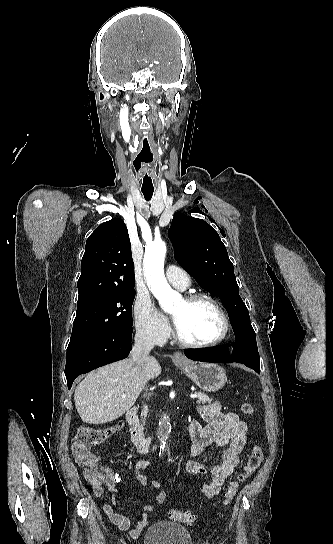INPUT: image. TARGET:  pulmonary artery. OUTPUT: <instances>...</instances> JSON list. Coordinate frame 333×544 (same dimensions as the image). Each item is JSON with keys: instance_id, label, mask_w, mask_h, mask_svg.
Wrapping results in <instances>:
<instances>
[{"instance_id": "pulmonary-artery-1", "label": "pulmonary artery", "mask_w": 333, "mask_h": 544, "mask_svg": "<svg viewBox=\"0 0 333 544\" xmlns=\"http://www.w3.org/2000/svg\"><path fill=\"white\" fill-rule=\"evenodd\" d=\"M166 277L171 285L185 290L190 285V277L185 270L180 267L170 265L166 269Z\"/></svg>"}]
</instances>
